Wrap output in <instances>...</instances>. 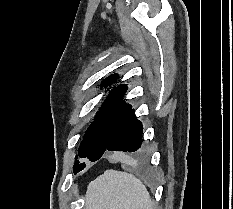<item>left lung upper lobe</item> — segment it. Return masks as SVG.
Here are the masks:
<instances>
[{
    "mask_svg": "<svg viewBox=\"0 0 233 209\" xmlns=\"http://www.w3.org/2000/svg\"><path fill=\"white\" fill-rule=\"evenodd\" d=\"M117 80V75L106 78L102 87H107ZM127 86L119 85L113 88L99 109L97 116L86 131L80 144L78 154L80 158H100L106 151L107 144L115 128L131 110V105L122 99ZM78 159V156L75 157ZM79 164L77 160L74 168Z\"/></svg>",
    "mask_w": 233,
    "mask_h": 209,
    "instance_id": "5c2ea615",
    "label": "left lung upper lobe"
}]
</instances>
